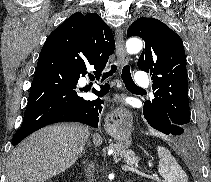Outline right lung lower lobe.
Here are the masks:
<instances>
[{
    "mask_svg": "<svg viewBox=\"0 0 211 182\" xmlns=\"http://www.w3.org/2000/svg\"><path fill=\"white\" fill-rule=\"evenodd\" d=\"M67 27L63 24L56 28L41 50L23 122L12 145L56 122L74 121L98 127L103 100L83 99L78 96L76 85L78 79L87 74L89 65L98 72L97 78L105 66H100L95 56L82 51ZM100 88V91L94 88L93 93L103 97L109 91V85Z\"/></svg>",
    "mask_w": 211,
    "mask_h": 182,
    "instance_id": "98d812e1",
    "label": "right lung lower lobe"
}]
</instances>
